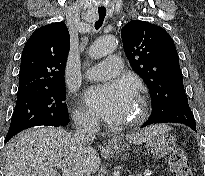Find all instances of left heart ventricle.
<instances>
[{"instance_id":"b2bd125f","label":"left heart ventricle","mask_w":205,"mask_h":176,"mask_svg":"<svg viewBox=\"0 0 205 176\" xmlns=\"http://www.w3.org/2000/svg\"><path fill=\"white\" fill-rule=\"evenodd\" d=\"M138 110H139V104H138V101L136 100L134 105L130 109L129 113L127 114V116L123 119V121L126 122L132 119L138 113Z\"/></svg>"}]
</instances>
